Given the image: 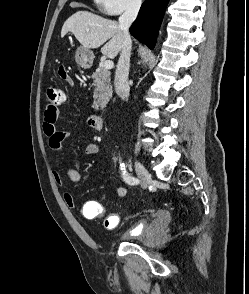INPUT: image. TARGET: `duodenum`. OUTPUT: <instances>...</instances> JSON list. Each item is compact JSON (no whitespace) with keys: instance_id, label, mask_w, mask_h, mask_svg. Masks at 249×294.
Returning a JSON list of instances; mask_svg holds the SVG:
<instances>
[{"instance_id":"duodenum-1","label":"duodenum","mask_w":249,"mask_h":294,"mask_svg":"<svg viewBox=\"0 0 249 294\" xmlns=\"http://www.w3.org/2000/svg\"><path fill=\"white\" fill-rule=\"evenodd\" d=\"M90 121L94 129L100 131L103 127V118L98 114H92L90 116Z\"/></svg>"}]
</instances>
